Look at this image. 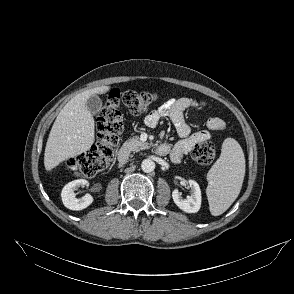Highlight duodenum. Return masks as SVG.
<instances>
[{"label":"duodenum","mask_w":294,"mask_h":294,"mask_svg":"<svg viewBox=\"0 0 294 294\" xmlns=\"http://www.w3.org/2000/svg\"><path fill=\"white\" fill-rule=\"evenodd\" d=\"M169 149H170V147H169L168 144L161 143V144H158L155 147V152L159 156H164V155H166L169 152ZM118 160L122 164L127 163V161H128V151L126 149L121 148L118 151Z\"/></svg>","instance_id":"obj_1"}]
</instances>
